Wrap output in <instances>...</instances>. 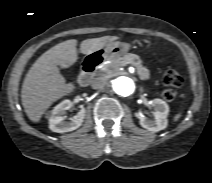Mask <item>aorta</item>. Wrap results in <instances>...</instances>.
I'll list each match as a JSON object with an SVG mask.
<instances>
[{"instance_id": "762f6f07", "label": "aorta", "mask_w": 212, "mask_h": 183, "mask_svg": "<svg viewBox=\"0 0 212 183\" xmlns=\"http://www.w3.org/2000/svg\"><path fill=\"white\" fill-rule=\"evenodd\" d=\"M113 89L120 96H130L135 90L134 80L127 76H120L114 80Z\"/></svg>"}]
</instances>
